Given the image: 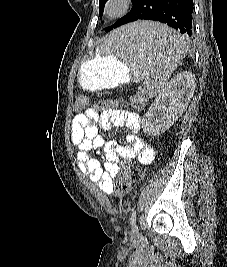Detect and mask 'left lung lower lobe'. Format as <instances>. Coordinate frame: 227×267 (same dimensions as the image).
<instances>
[{"instance_id": "obj_1", "label": "left lung lower lobe", "mask_w": 227, "mask_h": 267, "mask_svg": "<svg viewBox=\"0 0 227 267\" xmlns=\"http://www.w3.org/2000/svg\"><path fill=\"white\" fill-rule=\"evenodd\" d=\"M132 4L130 12L106 28V32L137 20H153L165 23L185 36L193 33V0H132ZM147 45L170 47L173 43L148 37Z\"/></svg>"}]
</instances>
